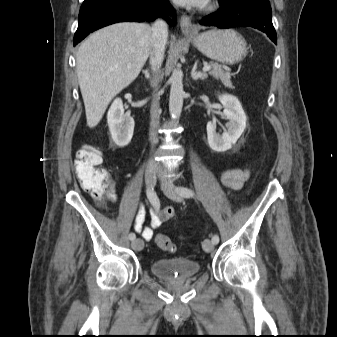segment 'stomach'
Masks as SVG:
<instances>
[{
  "label": "stomach",
  "instance_id": "0dacf381",
  "mask_svg": "<svg viewBox=\"0 0 337 337\" xmlns=\"http://www.w3.org/2000/svg\"><path fill=\"white\" fill-rule=\"evenodd\" d=\"M193 45L205 56L218 62L234 64L247 54L244 38L234 30L204 32L192 38Z\"/></svg>",
  "mask_w": 337,
  "mask_h": 337
}]
</instances>
